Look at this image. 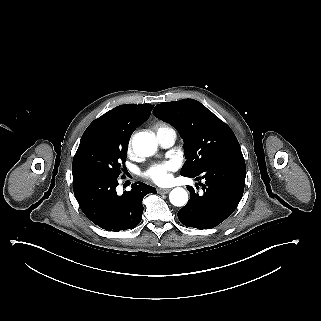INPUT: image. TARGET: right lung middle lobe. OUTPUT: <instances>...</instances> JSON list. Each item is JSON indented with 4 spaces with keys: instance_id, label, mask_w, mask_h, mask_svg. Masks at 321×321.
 Instances as JSON below:
<instances>
[{
    "instance_id": "1",
    "label": "right lung middle lobe",
    "mask_w": 321,
    "mask_h": 321,
    "mask_svg": "<svg viewBox=\"0 0 321 321\" xmlns=\"http://www.w3.org/2000/svg\"><path fill=\"white\" fill-rule=\"evenodd\" d=\"M132 133L113 132L107 123L93 121L85 130L73 158L72 173L95 172L118 178Z\"/></svg>"
}]
</instances>
